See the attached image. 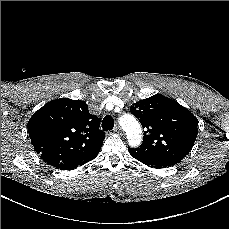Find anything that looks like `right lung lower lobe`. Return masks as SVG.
<instances>
[{"label":"right lung lower lobe","mask_w":229,"mask_h":229,"mask_svg":"<svg viewBox=\"0 0 229 229\" xmlns=\"http://www.w3.org/2000/svg\"><path fill=\"white\" fill-rule=\"evenodd\" d=\"M94 158H95V157H94ZM94 158H92V159H94ZM92 159H91V160H92ZM88 161H90V160H88ZM88 161H85V162L81 163V164L78 165V166H82L83 164L87 163ZM78 166H77V167H78ZM77 167H74L73 169H75V168H77ZM70 170H71V169H70Z\"/></svg>","instance_id":"98d812e1"}]
</instances>
